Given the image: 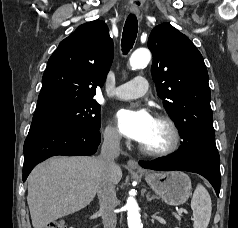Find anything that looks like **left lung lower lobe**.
I'll list each match as a JSON object with an SVG mask.
<instances>
[{"instance_id":"obj_1","label":"left lung lower lobe","mask_w":238,"mask_h":228,"mask_svg":"<svg viewBox=\"0 0 238 228\" xmlns=\"http://www.w3.org/2000/svg\"><path fill=\"white\" fill-rule=\"evenodd\" d=\"M139 164L152 170H179L198 173L211 183L217 196H219L221 186L220 156L216 144L203 147L195 154L184 159L175 153L153 161H140Z\"/></svg>"}]
</instances>
